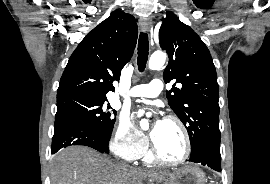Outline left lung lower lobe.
Instances as JSON below:
<instances>
[{"instance_id":"1","label":"left lung lower lobe","mask_w":270,"mask_h":184,"mask_svg":"<svg viewBox=\"0 0 270 184\" xmlns=\"http://www.w3.org/2000/svg\"><path fill=\"white\" fill-rule=\"evenodd\" d=\"M189 161L201 163L218 172H221L220 143L203 142L191 154Z\"/></svg>"}]
</instances>
